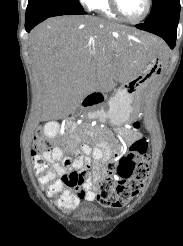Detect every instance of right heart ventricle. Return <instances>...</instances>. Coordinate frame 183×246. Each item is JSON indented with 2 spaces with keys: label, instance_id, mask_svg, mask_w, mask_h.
<instances>
[{
  "label": "right heart ventricle",
  "instance_id": "1",
  "mask_svg": "<svg viewBox=\"0 0 183 246\" xmlns=\"http://www.w3.org/2000/svg\"><path fill=\"white\" fill-rule=\"evenodd\" d=\"M89 7L103 16L118 19L110 6L109 0H91Z\"/></svg>",
  "mask_w": 183,
  "mask_h": 246
}]
</instances>
